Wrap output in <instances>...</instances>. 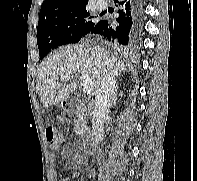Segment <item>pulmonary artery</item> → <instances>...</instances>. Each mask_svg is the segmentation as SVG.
<instances>
[{
	"mask_svg": "<svg viewBox=\"0 0 197 181\" xmlns=\"http://www.w3.org/2000/svg\"><path fill=\"white\" fill-rule=\"evenodd\" d=\"M106 7V4L104 2H98L97 3V8L100 9V10H103L105 9Z\"/></svg>",
	"mask_w": 197,
	"mask_h": 181,
	"instance_id": "obj_1",
	"label": "pulmonary artery"
}]
</instances>
